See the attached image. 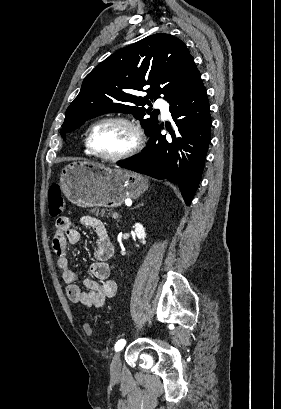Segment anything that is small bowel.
Here are the masks:
<instances>
[{
  "label": "small bowel",
  "instance_id": "small-bowel-1",
  "mask_svg": "<svg viewBox=\"0 0 281 409\" xmlns=\"http://www.w3.org/2000/svg\"><path fill=\"white\" fill-rule=\"evenodd\" d=\"M81 223L92 228L95 233V261L90 266L94 278L83 280L85 290L76 284L78 275L70 266L68 245H81L82 239L80 233L72 228L68 217L62 216L56 220L52 246L57 255V266L66 285L68 299L72 303L98 309L117 293V284L111 278V267L108 263L113 256L114 246L101 220L83 216Z\"/></svg>",
  "mask_w": 281,
  "mask_h": 409
}]
</instances>
